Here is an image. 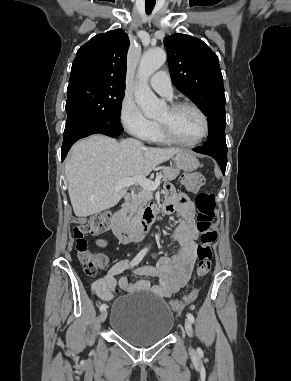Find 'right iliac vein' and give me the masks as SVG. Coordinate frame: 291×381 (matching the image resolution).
<instances>
[{
  "instance_id": "right-iliac-vein-1",
  "label": "right iliac vein",
  "mask_w": 291,
  "mask_h": 381,
  "mask_svg": "<svg viewBox=\"0 0 291 381\" xmlns=\"http://www.w3.org/2000/svg\"><path fill=\"white\" fill-rule=\"evenodd\" d=\"M106 318H107V311L104 310V311H102L101 314H100V321H101V322H104V321L106 320Z\"/></svg>"
}]
</instances>
